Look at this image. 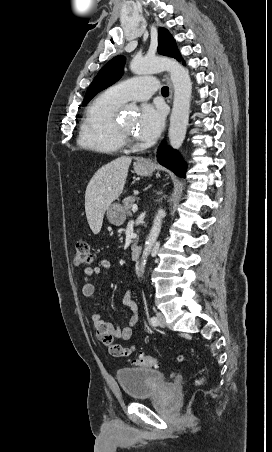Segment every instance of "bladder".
<instances>
[{"label": "bladder", "instance_id": "obj_1", "mask_svg": "<svg viewBox=\"0 0 272 452\" xmlns=\"http://www.w3.org/2000/svg\"><path fill=\"white\" fill-rule=\"evenodd\" d=\"M116 377L130 399H142L157 393L167 384L165 375L152 368H123Z\"/></svg>", "mask_w": 272, "mask_h": 452}]
</instances>
